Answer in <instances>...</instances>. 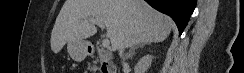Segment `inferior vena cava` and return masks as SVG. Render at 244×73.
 <instances>
[{
	"mask_svg": "<svg viewBox=\"0 0 244 73\" xmlns=\"http://www.w3.org/2000/svg\"><path fill=\"white\" fill-rule=\"evenodd\" d=\"M123 51H124V46H121V47L119 48V54H120V56H122Z\"/></svg>",
	"mask_w": 244,
	"mask_h": 73,
	"instance_id": "1",
	"label": "inferior vena cava"
}]
</instances>
